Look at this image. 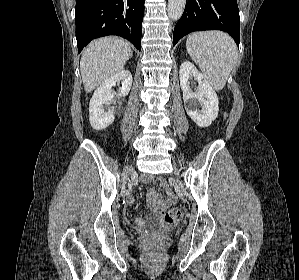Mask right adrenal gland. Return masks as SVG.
I'll return each instance as SVG.
<instances>
[{
  "instance_id": "right-adrenal-gland-1",
  "label": "right adrenal gland",
  "mask_w": 299,
  "mask_h": 280,
  "mask_svg": "<svg viewBox=\"0 0 299 280\" xmlns=\"http://www.w3.org/2000/svg\"><path fill=\"white\" fill-rule=\"evenodd\" d=\"M130 58H132V53H131V55H130Z\"/></svg>"
}]
</instances>
